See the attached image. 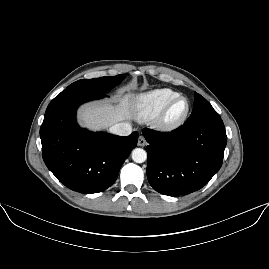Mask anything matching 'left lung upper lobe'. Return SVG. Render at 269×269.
I'll return each mask as SVG.
<instances>
[{"instance_id": "obj_1", "label": "left lung upper lobe", "mask_w": 269, "mask_h": 269, "mask_svg": "<svg viewBox=\"0 0 269 269\" xmlns=\"http://www.w3.org/2000/svg\"><path fill=\"white\" fill-rule=\"evenodd\" d=\"M194 108L185 125H194L201 122L221 119L211 104L200 94L194 93Z\"/></svg>"}]
</instances>
